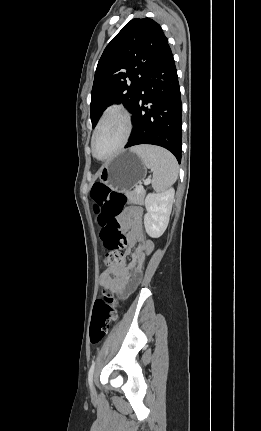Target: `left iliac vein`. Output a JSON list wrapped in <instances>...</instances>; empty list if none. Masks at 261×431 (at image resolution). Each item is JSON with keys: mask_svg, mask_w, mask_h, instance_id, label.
Segmentation results:
<instances>
[{"mask_svg": "<svg viewBox=\"0 0 261 431\" xmlns=\"http://www.w3.org/2000/svg\"><path fill=\"white\" fill-rule=\"evenodd\" d=\"M91 392H92V394H94V393H95V389H94L93 385H92V387H91Z\"/></svg>", "mask_w": 261, "mask_h": 431, "instance_id": "obj_1", "label": "left iliac vein"}]
</instances>
